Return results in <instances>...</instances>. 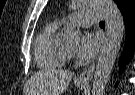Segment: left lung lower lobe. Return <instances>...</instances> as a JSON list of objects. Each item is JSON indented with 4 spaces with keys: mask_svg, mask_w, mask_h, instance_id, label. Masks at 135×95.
Here are the masks:
<instances>
[{
    "mask_svg": "<svg viewBox=\"0 0 135 95\" xmlns=\"http://www.w3.org/2000/svg\"><path fill=\"white\" fill-rule=\"evenodd\" d=\"M126 30V42L120 58V71L130 61L135 50V2L127 9L121 11Z\"/></svg>",
    "mask_w": 135,
    "mask_h": 95,
    "instance_id": "0a47b994",
    "label": "left lung lower lobe"
}]
</instances>
